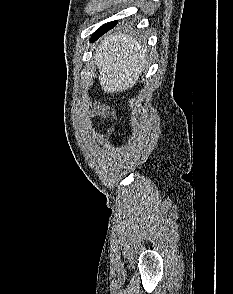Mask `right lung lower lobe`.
Returning a JSON list of instances; mask_svg holds the SVG:
<instances>
[{
	"label": "right lung lower lobe",
	"instance_id": "right-lung-lower-lobe-1",
	"mask_svg": "<svg viewBox=\"0 0 233 294\" xmlns=\"http://www.w3.org/2000/svg\"><path fill=\"white\" fill-rule=\"evenodd\" d=\"M116 24V22H111L108 24H105L104 26H102L101 28H99L92 36L91 41L96 40L99 36H101L102 34H104L105 32H107L108 30H110L114 25Z\"/></svg>",
	"mask_w": 233,
	"mask_h": 294
}]
</instances>
